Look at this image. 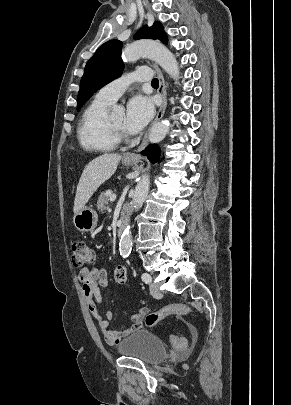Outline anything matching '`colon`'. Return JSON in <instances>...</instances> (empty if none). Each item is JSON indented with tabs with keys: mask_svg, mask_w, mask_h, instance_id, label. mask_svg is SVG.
Returning <instances> with one entry per match:
<instances>
[{
	"mask_svg": "<svg viewBox=\"0 0 291 405\" xmlns=\"http://www.w3.org/2000/svg\"><path fill=\"white\" fill-rule=\"evenodd\" d=\"M72 263L75 267L91 266L95 263L96 255L86 242L76 241L72 245ZM114 281L118 285H124L127 280V272L124 266H117L114 269ZM191 313V309L183 304H171L163 307L162 309L150 313L145 318V323L149 327L155 326L160 320L169 315H184L187 316ZM170 343L173 348L177 350L185 349L187 341L184 337L171 335Z\"/></svg>",
	"mask_w": 291,
	"mask_h": 405,
	"instance_id": "1",
	"label": "colon"
}]
</instances>
